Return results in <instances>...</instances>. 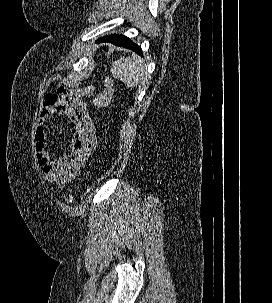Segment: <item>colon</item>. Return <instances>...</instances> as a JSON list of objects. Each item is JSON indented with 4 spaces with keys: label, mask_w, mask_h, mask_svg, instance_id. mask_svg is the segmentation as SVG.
<instances>
[{
    "label": "colon",
    "mask_w": 272,
    "mask_h": 303,
    "mask_svg": "<svg viewBox=\"0 0 272 303\" xmlns=\"http://www.w3.org/2000/svg\"><path fill=\"white\" fill-rule=\"evenodd\" d=\"M114 96V83L109 77L105 79V88L101 94L92 102V106L96 110H101L107 106ZM67 203L71 204L74 201V195L70 192L66 197Z\"/></svg>",
    "instance_id": "1"
}]
</instances>
